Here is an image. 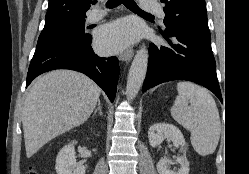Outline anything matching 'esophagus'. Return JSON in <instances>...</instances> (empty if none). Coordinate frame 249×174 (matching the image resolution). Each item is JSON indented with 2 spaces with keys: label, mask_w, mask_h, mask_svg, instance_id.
<instances>
[{
  "label": "esophagus",
  "mask_w": 249,
  "mask_h": 174,
  "mask_svg": "<svg viewBox=\"0 0 249 174\" xmlns=\"http://www.w3.org/2000/svg\"><path fill=\"white\" fill-rule=\"evenodd\" d=\"M133 55H134L133 49L129 48L125 52L119 55V59L121 61L128 63L132 59Z\"/></svg>",
  "instance_id": "esophagus-1"
}]
</instances>
